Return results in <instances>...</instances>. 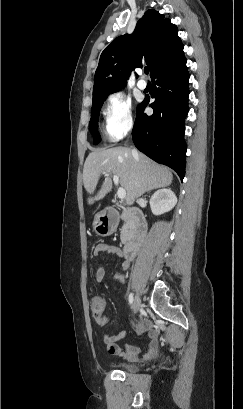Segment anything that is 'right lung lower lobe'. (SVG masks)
Segmentation results:
<instances>
[{"instance_id":"obj_1","label":"right lung lower lobe","mask_w":243,"mask_h":409,"mask_svg":"<svg viewBox=\"0 0 243 409\" xmlns=\"http://www.w3.org/2000/svg\"><path fill=\"white\" fill-rule=\"evenodd\" d=\"M154 84L150 104L154 113L144 114L149 99L138 106L132 138L135 146L154 161L185 176L186 143L184 120L188 113L189 73L183 45L151 77Z\"/></svg>"}]
</instances>
